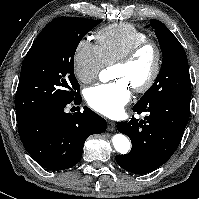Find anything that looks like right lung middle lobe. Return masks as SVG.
I'll return each instance as SVG.
<instances>
[{
    "instance_id": "dd1d6c3e",
    "label": "right lung middle lobe",
    "mask_w": 199,
    "mask_h": 199,
    "mask_svg": "<svg viewBox=\"0 0 199 199\" xmlns=\"http://www.w3.org/2000/svg\"><path fill=\"white\" fill-rule=\"evenodd\" d=\"M101 21L58 17L44 27L22 64L15 97L17 123L80 97L74 54L84 35Z\"/></svg>"
}]
</instances>
